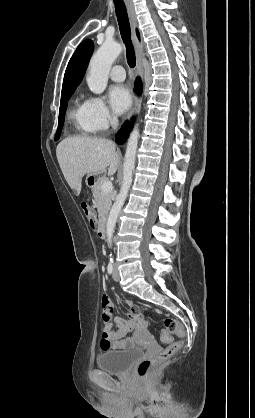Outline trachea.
<instances>
[{
    "instance_id": "3493384b",
    "label": "trachea",
    "mask_w": 255,
    "mask_h": 418,
    "mask_svg": "<svg viewBox=\"0 0 255 418\" xmlns=\"http://www.w3.org/2000/svg\"><path fill=\"white\" fill-rule=\"evenodd\" d=\"M115 5V12L119 24L120 34L126 46V57L128 65L134 68L136 65V58L134 48L131 42V31L127 15V10L123 0H113Z\"/></svg>"
}]
</instances>
